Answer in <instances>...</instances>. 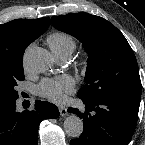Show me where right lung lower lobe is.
I'll return each mask as SVG.
<instances>
[{
  "label": "right lung lower lobe",
  "mask_w": 145,
  "mask_h": 145,
  "mask_svg": "<svg viewBox=\"0 0 145 145\" xmlns=\"http://www.w3.org/2000/svg\"><path fill=\"white\" fill-rule=\"evenodd\" d=\"M59 110L36 100L32 111H16L15 101H0V145H37L38 126L45 118H58Z\"/></svg>",
  "instance_id": "right-lung-lower-lobe-1"
}]
</instances>
